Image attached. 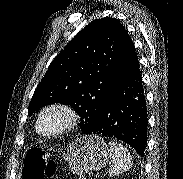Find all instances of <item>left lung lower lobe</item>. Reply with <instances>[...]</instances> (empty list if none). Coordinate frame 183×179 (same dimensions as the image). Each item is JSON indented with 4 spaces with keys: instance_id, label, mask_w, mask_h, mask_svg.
<instances>
[{
    "instance_id": "0a47b994",
    "label": "left lung lower lobe",
    "mask_w": 183,
    "mask_h": 179,
    "mask_svg": "<svg viewBox=\"0 0 183 179\" xmlns=\"http://www.w3.org/2000/svg\"><path fill=\"white\" fill-rule=\"evenodd\" d=\"M147 108L138 57L128 37L109 99L88 134L116 138L144 156L147 140Z\"/></svg>"
}]
</instances>
